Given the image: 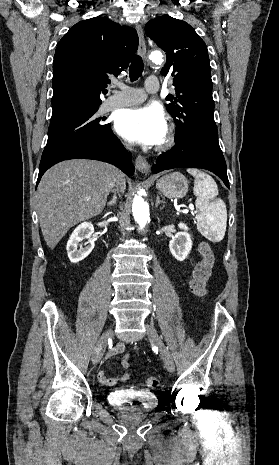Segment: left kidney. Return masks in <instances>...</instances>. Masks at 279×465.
Instances as JSON below:
<instances>
[{
  "mask_svg": "<svg viewBox=\"0 0 279 465\" xmlns=\"http://www.w3.org/2000/svg\"><path fill=\"white\" fill-rule=\"evenodd\" d=\"M178 226L183 231L176 233L175 236L172 237V240L169 242V249L171 254L178 261H183L187 258L192 249V240L188 233L187 225L180 222Z\"/></svg>",
  "mask_w": 279,
  "mask_h": 465,
  "instance_id": "obj_1",
  "label": "left kidney"
}]
</instances>
